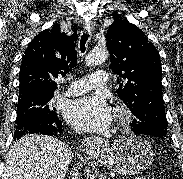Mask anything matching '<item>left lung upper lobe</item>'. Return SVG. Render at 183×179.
Segmentation results:
<instances>
[{
  "mask_svg": "<svg viewBox=\"0 0 183 179\" xmlns=\"http://www.w3.org/2000/svg\"><path fill=\"white\" fill-rule=\"evenodd\" d=\"M106 39L111 68L119 75L118 96L136 117L132 131L168 137L158 51L138 27L118 16H114Z\"/></svg>",
  "mask_w": 183,
  "mask_h": 179,
  "instance_id": "obj_1",
  "label": "left lung upper lobe"
}]
</instances>
